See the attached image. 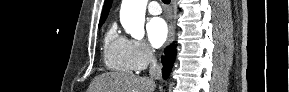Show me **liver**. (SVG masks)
<instances>
[{
  "label": "liver",
  "mask_w": 289,
  "mask_h": 92,
  "mask_svg": "<svg viewBox=\"0 0 289 92\" xmlns=\"http://www.w3.org/2000/svg\"><path fill=\"white\" fill-rule=\"evenodd\" d=\"M155 87L151 78L110 72L95 77L88 92H154Z\"/></svg>",
  "instance_id": "6515ba94"
}]
</instances>
